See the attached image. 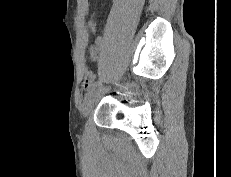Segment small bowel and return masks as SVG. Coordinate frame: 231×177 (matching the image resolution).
I'll use <instances>...</instances> for the list:
<instances>
[{"instance_id": "c3829d8e", "label": "small bowel", "mask_w": 231, "mask_h": 177, "mask_svg": "<svg viewBox=\"0 0 231 177\" xmlns=\"http://www.w3.org/2000/svg\"><path fill=\"white\" fill-rule=\"evenodd\" d=\"M88 25H89L90 31L95 33L97 29L96 21L94 19H91ZM94 46L98 52H101L103 50V40L101 37H97L95 39ZM93 58L94 59L98 58L95 52H93ZM93 79H94V73L92 71H86L84 74V78H83L84 86L89 87L92 84Z\"/></svg>"}]
</instances>
